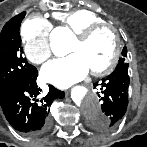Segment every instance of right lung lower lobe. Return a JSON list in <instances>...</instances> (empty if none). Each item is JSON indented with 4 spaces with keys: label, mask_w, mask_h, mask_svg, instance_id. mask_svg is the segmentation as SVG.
<instances>
[{
    "label": "right lung lower lobe",
    "mask_w": 147,
    "mask_h": 147,
    "mask_svg": "<svg viewBox=\"0 0 147 147\" xmlns=\"http://www.w3.org/2000/svg\"><path fill=\"white\" fill-rule=\"evenodd\" d=\"M37 75L0 89V104L6 119L14 129L28 136L40 135L48 129L52 101L64 98V92L50 85L48 94L40 99Z\"/></svg>",
    "instance_id": "1"
}]
</instances>
